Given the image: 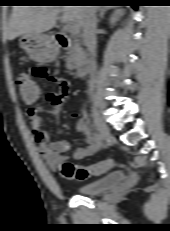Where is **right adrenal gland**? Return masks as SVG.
Returning a JSON list of instances; mask_svg holds the SVG:
<instances>
[{
  "instance_id": "2a0ac1e0",
  "label": "right adrenal gland",
  "mask_w": 170,
  "mask_h": 231,
  "mask_svg": "<svg viewBox=\"0 0 170 231\" xmlns=\"http://www.w3.org/2000/svg\"><path fill=\"white\" fill-rule=\"evenodd\" d=\"M106 10L107 9L105 7H103V6L99 7V9H98L99 15H98V18L96 19L97 23L100 22V18L104 17V14H105Z\"/></svg>"
}]
</instances>
